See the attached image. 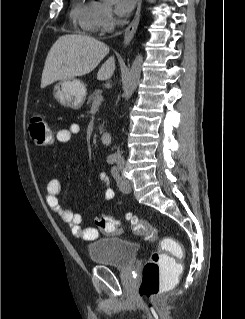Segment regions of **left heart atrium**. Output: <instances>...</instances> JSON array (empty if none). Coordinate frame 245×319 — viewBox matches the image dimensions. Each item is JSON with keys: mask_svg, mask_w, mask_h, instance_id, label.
I'll use <instances>...</instances> for the list:
<instances>
[{"mask_svg": "<svg viewBox=\"0 0 245 319\" xmlns=\"http://www.w3.org/2000/svg\"><path fill=\"white\" fill-rule=\"evenodd\" d=\"M137 0H116V10L121 16L129 14L134 8Z\"/></svg>", "mask_w": 245, "mask_h": 319, "instance_id": "left-heart-atrium-1", "label": "left heart atrium"}]
</instances>
